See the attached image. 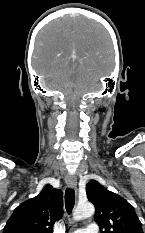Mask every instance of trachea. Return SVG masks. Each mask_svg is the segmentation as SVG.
<instances>
[{
  "mask_svg": "<svg viewBox=\"0 0 145 233\" xmlns=\"http://www.w3.org/2000/svg\"><path fill=\"white\" fill-rule=\"evenodd\" d=\"M75 204V192L73 189L68 188L65 191V206L68 214H71Z\"/></svg>",
  "mask_w": 145,
  "mask_h": 233,
  "instance_id": "obj_1",
  "label": "trachea"
}]
</instances>
